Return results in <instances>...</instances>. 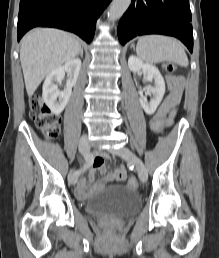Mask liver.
Listing matches in <instances>:
<instances>
[{
    "label": "liver",
    "mask_w": 219,
    "mask_h": 258,
    "mask_svg": "<svg viewBox=\"0 0 219 258\" xmlns=\"http://www.w3.org/2000/svg\"><path fill=\"white\" fill-rule=\"evenodd\" d=\"M81 45L72 35L57 29L36 28L22 39L20 61L29 97L54 69L74 59Z\"/></svg>",
    "instance_id": "liver-1"
}]
</instances>
